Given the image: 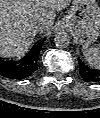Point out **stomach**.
Wrapping results in <instances>:
<instances>
[{
	"mask_svg": "<svg viewBox=\"0 0 100 118\" xmlns=\"http://www.w3.org/2000/svg\"><path fill=\"white\" fill-rule=\"evenodd\" d=\"M64 24L81 45L93 44L100 35V7L96 0H73Z\"/></svg>",
	"mask_w": 100,
	"mask_h": 118,
	"instance_id": "0dacf381",
	"label": "stomach"
}]
</instances>
